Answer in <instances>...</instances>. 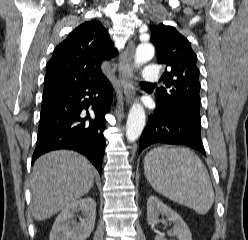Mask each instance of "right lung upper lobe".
Wrapping results in <instances>:
<instances>
[{
  "instance_id": "1",
  "label": "right lung upper lobe",
  "mask_w": 248,
  "mask_h": 240,
  "mask_svg": "<svg viewBox=\"0 0 248 240\" xmlns=\"http://www.w3.org/2000/svg\"><path fill=\"white\" fill-rule=\"evenodd\" d=\"M116 54L107 30L99 21L82 23L55 48L47 63L43 95L106 78L101 64Z\"/></svg>"
}]
</instances>
